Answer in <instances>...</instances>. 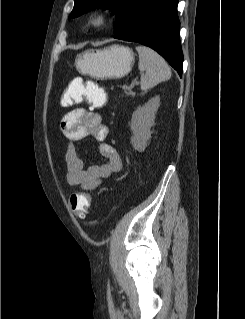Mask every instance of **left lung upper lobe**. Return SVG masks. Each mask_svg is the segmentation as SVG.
Wrapping results in <instances>:
<instances>
[{
	"label": "left lung upper lobe",
	"instance_id": "left-lung-upper-lobe-1",
	"mask_svg": "<svg viewBox=\"0 0 245 319\" xmlns=\"http://www.w3.org/2000/svg\"><path fill=\"white\" fill-rule=\"evenodd\" d=\"M140 0H75L70 18H75L94 8H105L114 11L116 24L114 35L118 34L128 20L133 8Z\"/></svg>",
	"mask_w": 245,
	"mask_h": 319
}]
</instances>
